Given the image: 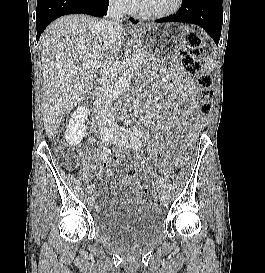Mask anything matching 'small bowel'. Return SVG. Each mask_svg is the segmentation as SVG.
<instances>
[{
  "label": "small bowel",
  "mask_w": 265,
  "mask_h": 273,
  "mask_svg": "<svg viewBox=\"0 0 265 273\" xmlns=\"http://www.w3.org/2000/svg\"><path fill=\"white\" fill-rule=\"evenodd\" d=\"M179 119L177 118H174L172 120H170L166 126L169 127V128H174V127H177L179 125ZM116 164V159L114 158H107L104 162H103V165L102 166H98L96 168V171L98 174H101L103 173L104 170L107 171V173H110L111 170L113 169V167L115 166ZM126 185H129L131 188H132V191H133V194L135 197H138V180L136 177H132L130 178L129 180L126 181L125 183ZM97 208L99 209L100 206L98 205Z\"/></svg>",
  "instance_id": "small-bowel-1"
}]
</instances>
